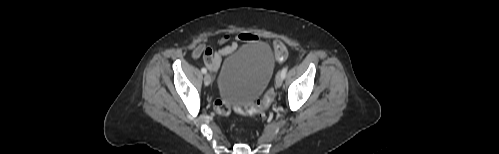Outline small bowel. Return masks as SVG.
Returning <instances> with one entry per match:
<instances>
[{"label":"small bowel","instance_id":"1","mask_svg":"<svg viewBox=\"0 0 499 154\" xmlns=\"http://www.w3.org/2000/svg\"><path fill=\"white\" fill-rule=\"evenodd\" d=\"M257 40L258 36L247 32L239 33L234 37L224 35L218 41L220 48L213 52L210 60H204L205 64L209 70L216 72L221 65L222 58L234 52L240 42H255Z\"/></svg>","mask_w":499,"mask_h":154}]
</instances>
